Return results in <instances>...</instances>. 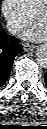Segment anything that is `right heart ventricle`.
<instances>
[{
  "label": "right heart ventricle",
  "mask_w": 47,
  "mask_h": 129,
  "mask_svg": "<svg viewBox=\"0 0 47 129\" xmlns=\"http://www.w3.org/2000/svg\"><path fill=\"white\" fill-rule=\"evenodd\" d=\"M21 1L25 5L27 10L30 13L34 14L37 8H39L45 0H21Z\"/></svg>",
  "instance_id": "1"
}]
</instances>
